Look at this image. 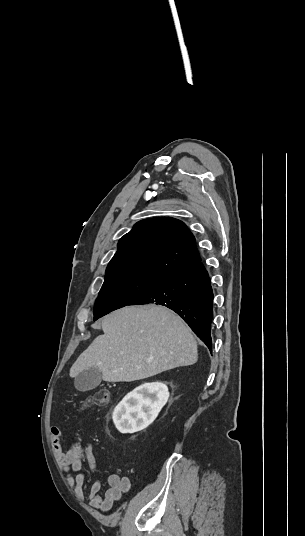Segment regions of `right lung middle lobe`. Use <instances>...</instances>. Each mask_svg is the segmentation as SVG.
Masks as SVG:
<instances>
[{
	"label": "right lung middle lobe",
	"instance_id": "dd1d6c3e",
	"mask_svg": "<svg viewBox=\"0 0 305 536\" xmlns=\"http://www.w3.org/2000/svg\"><path fill=\"white\" fill-rule=\"evenodd\" d=\"M164 275L127 274L105 278L94 305V320L130 305L164 279Z\"/></svg>",
	"mask_w": 305,
	"mask_h": 536
}]
</instances>
